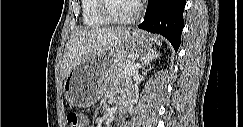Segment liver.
<instances>
[{"label": "liver", "instance_id": "1", "mask_svg": "<svg viewBox=\"0 0 243 127\" xmlns=\"http://www.w3.org/2000/svg\"><path fill=\"white\" fill-rule=\"evenodd\" d=\"M128 31V28H83L76 31L64 54L62 79L83 60L103 52Z\"/></svg>", "mask_w": 243, "mask_h": 127}]
</instances>
